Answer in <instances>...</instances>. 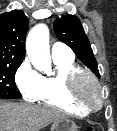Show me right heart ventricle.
Listing matches in <instances>:
<instances>
[{"label": "right heart ventricle", "instance_id": "e07e8e85", "mask_svg": "<svg viewBox=\"0 0 117 131\" xmlns=\"http://www.w3.org/2000/svg\"><path fill=\"white\" fill-rule=\"evenodd\" d=\"M53 62L55 64V73L43 77L42 87L35 101L74 116L88 115L91 110L72 99L67 88L69 76L80 70L74 58L56 59Z\"/></svg>", "mask_w": 117, "mask_h": 131}]
</instances>
